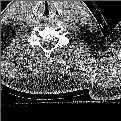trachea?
Wrapping results in <instances>:
<instances>
[{"label":"trachea","instance_id":"obj_1","mask_svg":"<svg viewBox=\"0 0 121 121\" xmlns=\"http://www.w3.org/2000/svg\"><path fill=\"white\" fill-rule=\"evenodd\" d=\"M52 13V7L49 3L45 2L42 3L41 8H40V14L43 17H48Z\"/></svg>","mask_w":121,"mask_h":121}]
</instances>
